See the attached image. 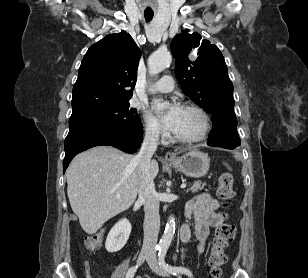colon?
I'll return each instance as SVG.
<instances>
[{"label": "colon", "instance_id": "5ec220e1", "mask_svg": "<svg viewBox=\"0 0 308 278\" xmlns=\"http://www.w3.org/2000/svg\"><path fill=\"white\" fill-rule=\"evenodd\" d=\"M233 184V177L230 173L222 172L220 174L218 178L217 195L222 201L224 207L229 206L230 200L234 196ZM110 235L111 232L109 230H102L101 235L98 234L86 237L84 240L85 246L88 249L93 250L100 244L102 237H109ZM234 236L235 227L232 224L224 222L217 227L208 258L210 273L213 278H220L222 267L227 258L225 251Z\"/></svg>", "mask_w": 308, "mask_h": 278}]
</instances>
